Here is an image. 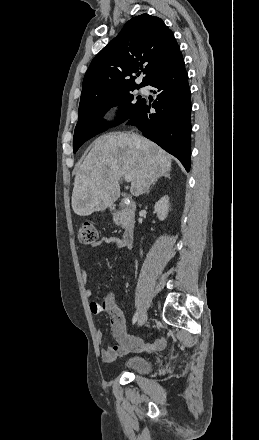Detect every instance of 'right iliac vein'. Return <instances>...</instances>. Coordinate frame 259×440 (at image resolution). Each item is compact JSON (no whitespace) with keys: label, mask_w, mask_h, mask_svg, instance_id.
Wrapping results in <instances>:
<instances>
[{"label":"right iliac vein","mask_w":259,"mask_h":440,"mask_svg":"<svg viewBox=\"0 0 259 440\" xmlns=\"http://www.w3.org/2000/svg\"><path fill=\"white\" fill-rule=\"evenodd\" d=\"M146 320H147V312L144 310V311L141 312V314H140V316H139V319H138V325H139V326L144 325V323L146 322Z\"/></svg>","instance_id":"63e3f726"}]
</instances>
